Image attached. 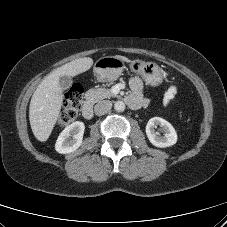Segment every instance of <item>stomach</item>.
Wrapping results in <instances>:
<instances>
[{"label": "stomach", "mask_w": 227, "mask_h": 227, "mask_svg": "<svg viewBox=\"0 0 227 227\" xmlns=\"http://www.w3.org/2000/svg\"><path fill=\"white\" fill-rule=\"evenodd\" d=\"M124 61L117 56H106L98 59L94 64V74L98 80H116L124 69ZM131 70L140 74L145 82L151 86H157L162 82V71L153 62L134 60L131 62Z\"/></svg>", "instance_id": "0dacf381"}]
</instances>
